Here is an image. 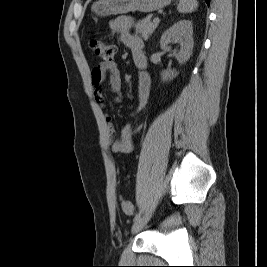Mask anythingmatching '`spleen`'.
<instances>
[{"instance_id":"obj_1","label":"spleen","mask_w":267,"mask_h":267,"mask_svg":"<svg viewBox=\"0 0 267 267\" xmlns=\"http://www.w3.org/2000/svg\"><path fill=\"white\" fill-rule=\"evenodd\" d=\"M198 7L197 0H179L177 10L179 13H191Z\"/></svg>"}]
</instances>
